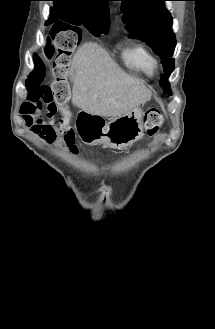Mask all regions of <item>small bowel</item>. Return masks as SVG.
I'll return each mask as SVG.
<instances>
[{
  "label": "small bowel",
  "instance_id": "small-bowel-1",
  "mask_svg": "<svg viewBox=\"0 0 215 329\" xmlns=\"http://www.w3.org/2000/svg\"><path fill=\"white\" fill-rule=\"evenodd\" d=\"M25 124L30 128V130L40 138H42L46 143L61 145L63 140L60 138V134L57 133L55 129V124L52 123L51 119L48 121L41 119L35 115L24 116ZM66 142V140H65ZM67 143V142H66ZM70 147L72 153H76L77 149L72 145L67 143Z\"/></svg>",
  "mask_w": 215,
  "mask_h": 329
}]
</instances>
